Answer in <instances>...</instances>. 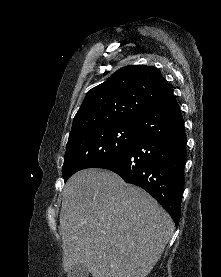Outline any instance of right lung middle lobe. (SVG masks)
Listing matches in <instances>:
<instances>
[{
  "label": "right lung middle lobe",
  "instance_id": "right-lung-middle-lobe-1",
  "mask_svg": "<svg viewBox=\"0 0 221 277\" xmlns=\"http://www.w3.org/2000/svg\"><path fill=\"white\" fill-rule=\"evenodd\" d=\"M136 122L93 127L69 137L62 175L66 181L85 168L99 167L122 156L137 133Z\"/></svg>",
  "mask_w": 221,
  "mask_h": 277
}]
</instances>
